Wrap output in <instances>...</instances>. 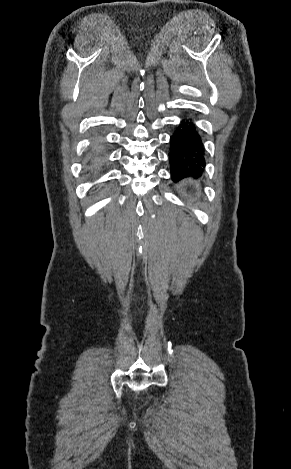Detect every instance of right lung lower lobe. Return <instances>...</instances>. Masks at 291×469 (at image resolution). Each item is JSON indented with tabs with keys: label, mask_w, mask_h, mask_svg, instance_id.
<instances>
[{
	"label": "right lung lower lobe",
	"mask_w": 291,
	"mask_h": 469,
	"mask_svg": "<svg viewBox=\"0 0 291 469\" xmlns=\"http://www.w3.org/2000/svg\"><path fill=\"white\" fill-rule=\"evenodd\" d=\"M87 158H88V164L91 167H99L104 163V160H105L104 145L101 140L94 139L92 141Z\"/></svg>",
	"instance_id": "right-lung-lower-lobe-1"
}]
</instances>
